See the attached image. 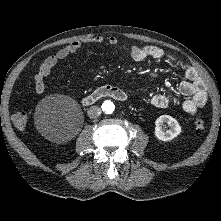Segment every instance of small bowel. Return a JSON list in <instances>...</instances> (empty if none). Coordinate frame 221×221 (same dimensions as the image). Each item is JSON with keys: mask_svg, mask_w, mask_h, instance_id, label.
Masks as SVG:
<instances>
[{"mask_svg": "<svg viewBox=\"0 0 221 221\" xmlns=\"http://www.w3.org/2000/svg\"><path fill=\"white\" fill-rule=\"evenodd\" d=\"M105 42L111 46L119 44L118 39L114 36L108 38L95 36L86 40L72 42L60 49L56 54L46 58L40 65L39 70L34 77L35 92L37 94H43L46 91L45 78L50 75L51 71L60 61L75 54L85 46L100 45ZM122 50L126 56L136 62L143 61L147 58H153L156 60L168 58L172 62H176V60L167 55L164 50L153 45H122ZM182 68L186 80L180 84V92L182 95L186 96L187 99L181 102V106L187 114L194 115L207 103L208 95L206 87L194 67L183 65ZM150 103L156 108H166L171 104H180V100L171 93L165 92L152 96Z\"/></svg>", "mask_w": 221, "mask_h": 221, "instance_id": "small-bowel-1", "label": "small bowel"}]
</instances>
